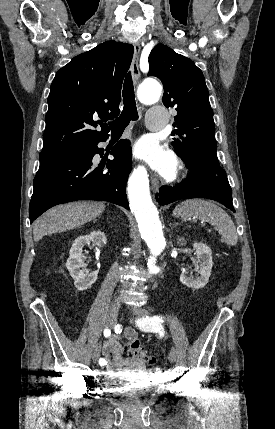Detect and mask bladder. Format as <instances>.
Wrapping results in <instances>:
<instances>
[{
    "mask_svg": "<svg viewBox=\"0 0 275 429\" xmlns=\"http://www.w3.org/2000/svg\"><path fill=\"white\" fill-rule=\"evenodd\" d=\"M148 383V377H110L108 396L123 398L124 403H139L140 398H151V393H158V384Z\"/></svg>",
    "mask_w": 275,
    "mask_h": 429,
    "instance_id": "31cf9c89",
    "label": "bladder"
}]
</instances>
